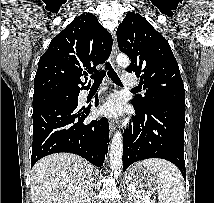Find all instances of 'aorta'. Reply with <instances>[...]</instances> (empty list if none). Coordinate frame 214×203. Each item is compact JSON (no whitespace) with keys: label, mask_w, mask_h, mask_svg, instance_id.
I'll return each instance as SVG.
<instances>
[{"label":"aorta","mask_w":214,"mask_h":203,"mask_svg":"<svg viewBox=\"0 0 214 203\" xmlns=\"http://www.w3.org/2000/svg\"><path fill=\"white\" fill-rule=\"evenodd\" d=\"M116 62L123 68L128 67L130 64L129 58L125 54H119L116 58ZM122 154V134L120 132H116L112 138L110 146V166L112 173L116 178L120 176L122 171Z\"/></svg>","instance_id":"obj_1"}]
</instances>
